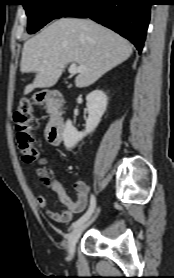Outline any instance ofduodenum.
<instances>
[{
	"label": "duodenum",
	"mask_w": 174,
	"mask_h": 278,
	"mask_svg": "<svg viewBox=\"0 0 174 278\" xmlns=\"http://www.w3.org/2000/svg\"><path fill=\"white\" fill-rule=\"evenodd\" d=\"M62 98L61 92L56 90H43L37 94V101L48 104L52 109L50 121L45 131L48 141L52 144H59L64 132V121L59 112Z\"/></svg>",
	"instance_id": "obj_1"
}]
</instances>
